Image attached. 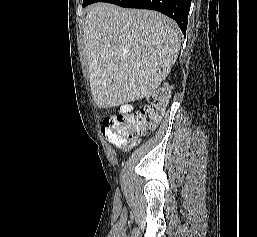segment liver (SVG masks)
I'll return each instance as SVG.
<instances>
[{"instance_id":"1","label":"liver","mask_w":257,"mask_h":237,"mask_svg":"<svg viewBox=\"0 0 257 237\" xmlns=\"http://www.w3.org/2000/svg\"><path fill=\"white\" fill-rule=\"evenodd\" d=\"M83 38L93 99L110 108L150 97L174 65L181 37L161 13L98 3Z\"/></svg>"}]
</instances>
